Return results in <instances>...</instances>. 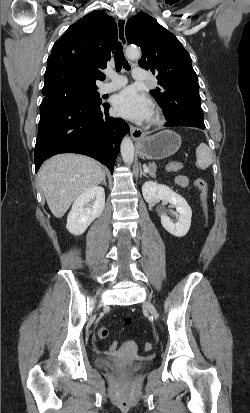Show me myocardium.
Wrapping results in <instances>:
<instances>
[{
  "instance_id": "1",
  "label": "myocardium",
  "mask_w": 250,
  "mask_h": 413,
  "mask_svg": "<svg viewBox=\"0 0 250 413\" xmlns=\"http://www.w3.org/2000/svg\"><path fill=\"white\" fill-rule=\"evenodd\" d=\"M164 121V112L161 107L154 106L150 118V123L152 125H160Z\"/></svg>"
}]
</instances>
